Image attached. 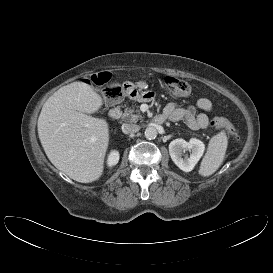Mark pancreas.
Returning a JSON list of instances; mask_svg holds the SVG:
<instances>
[{
	"instance_id": "obj_1",
	"label": "pancreas",
	"mask_w": 273,
	"mask_h": 273,
	"mask_svg": "<svg viewBox=\"0 0 273 273\" xmlns=\"http://www.w3.org/2000/svg\"><path fill=\"white\" fill-rule=\"evenodd\" d=\"M123 118L128 122L135 123L139 120H143V116L141 115L138 109H134V107H126L123 113Z\"/></svg>"
}]
</instances>
